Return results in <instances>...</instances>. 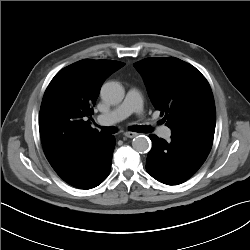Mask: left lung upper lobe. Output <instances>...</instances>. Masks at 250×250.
Here are the masks:
<instances>
[{"instance_id": "left-lung-upper-lobe-1", "label": "left lung upper lobe", "mask_w": 250, "mask_h": 250, "mask_svg": "<svg viewBox=\"0 0 250 250\" xmlns=\"http://www.w3.org/2000/svg\"><path fill=\"white\" fill-rule=\"evenodd\" d=\"M134 67L172 134L214 137V98L199 70L174 57L146 58L134 63Z\"/></svg>"}]
</instances>
